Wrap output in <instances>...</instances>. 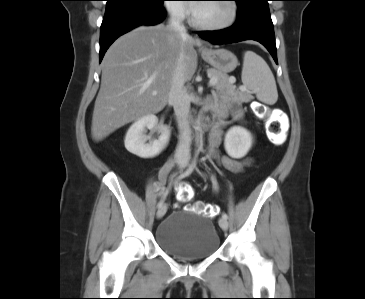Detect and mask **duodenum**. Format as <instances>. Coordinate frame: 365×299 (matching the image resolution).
<instances>
[{
  "label": "duodenum",
  "instance_id": "1",
  "mask_svg": "<svg viewBox=\"0 0 365 299\" xmlns=\"http://www.w3.org/2000/svg\"><path fill=\"white\" fill-rule=\"evenodd\" d=\"M213 122V116L210 111H204L200 115L199 126L203 129H208L211 127Z\"/></svg>",
  "mask_w": 365,
  "mask_h": 299
}]
</instances>
